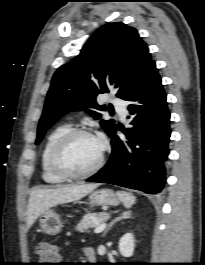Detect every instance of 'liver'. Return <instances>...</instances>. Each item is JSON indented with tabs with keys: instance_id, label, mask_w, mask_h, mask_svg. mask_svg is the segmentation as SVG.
Listing matches in <instances>:
<instances>
[{
	"instance_id": "liver-1",
	"label": "liver",
	"mask_w": 205,
	"mask_h": 265,
	"mask_svg": "<svg viewBox=\"0 0 205 265\" xmlns=\"http://www.w3.org/2000/svg\"><path fill=\"white\" fill-rule=\"evenodd\" d=\"M97 187L98 184H80L33 189L27 207V227L30 228L36 219L51 207L83 198Z\"/></svg>"
}]
</instances>
